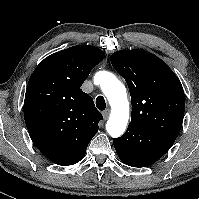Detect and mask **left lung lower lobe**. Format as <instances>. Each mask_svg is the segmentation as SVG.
<instances>
[{"instance_id":"0a47b994","label":"left lung lower lobe","mask_w":199,"mask_h":199,"mask_svg":"<svg viewBox=\"0 0 199 199\" xmlns=\"http://www.w3.org/2000/svg\"><path fill=\"white\" fill-rule=\"evenodd\" d=\"M174 141L130 123L120 138L113 140L123 163L132 167H146L159 160Z\"/></svg>"}]
</instances>
